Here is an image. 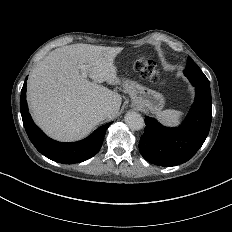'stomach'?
<instances>
[{
    "label": "stomach",
    "mask_w": 232,
    "mask_h": 232,
    "mask_svg": "<svg viewBox=\"0 0 232 232\" xmlns=\"http://www.w3.org/2000/svg\"><path fill=\"white\" fill-rule=\"evenodd\" d=\"M125 89L131 97V106L133 108L147 107L153 113H157L162 109L164 98L159 92L142 87L135 82H127Z\"/></svg>",
    "instance_id": "obj_1"
}]
</instances>
